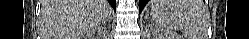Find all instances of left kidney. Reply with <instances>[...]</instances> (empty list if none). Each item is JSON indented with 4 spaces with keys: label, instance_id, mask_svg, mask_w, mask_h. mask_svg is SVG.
I'll list each match as a JSON object with an SVG mask.
<instances>
[{
    "label": "left kidney",
    "instance_id": "obj_1",
    "mask_svg": "<svg viewBox=\"0 0 249 39\" xmlns=\"http://www.w3.org/2000/svg\"><path fill=\"white\" fill-rule=\"evenodd\" d=\"M156 39H174L171 35L166 34L164 31H156Z\"/></svg>",
    "mask_w": 249,
    "mask_h": 39
}]
</instances>
